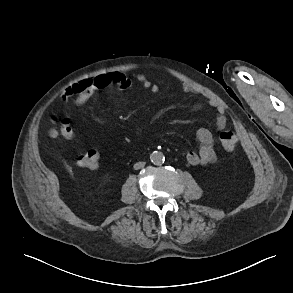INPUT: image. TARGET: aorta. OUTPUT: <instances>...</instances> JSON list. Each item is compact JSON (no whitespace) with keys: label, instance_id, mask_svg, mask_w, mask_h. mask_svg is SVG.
Returning a JSON list of instances; mask_svg holds the SVG:
<instances>
[{"label":"aorta","instance_id":"aorta-1","mask_svg":"<svg viewBox=\"0 0 293 293\" xmlns=\"http://www.w3.org/2000/svg\"><path fill=\"white\" fill-rule=\"evenodd\" d=\"M164 159L162 152L154 151L150 154V160L153 164L159 165L164 162Z\"/></svg>","mask_w":293,"mask_h":293}]
</instances>
